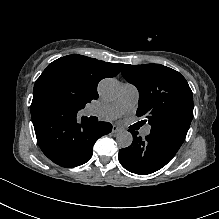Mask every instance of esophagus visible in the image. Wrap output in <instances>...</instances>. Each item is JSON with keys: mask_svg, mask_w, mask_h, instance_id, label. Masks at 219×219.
<instances>
[{"mask_svg": "<svg viewBox=\"0 0 219 219\" xmlns=\"http://www.w3.org/2000/svg\"><path fill=\"white\" fill-rule=\"evenodd\" d=\"M122 131V128L116 126V125H113L112 127V132L113 133H118V132H121Z\"/></svg>", "mask_w": 219, "mask_h": 219, "instance_id": "esophagus-1", "label": "esophagus"}]
</instances>
